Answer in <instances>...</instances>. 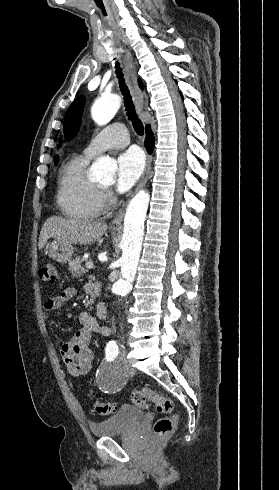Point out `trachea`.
Listing matches in <instances>:
<instances>
[{
	"label": "trachea",
	"instance_id": "trachea-1",
	"mask_svg": "<svg viewBox=\"0 0 279 490\" xmlns=\"http://www.w3.org/2000/svg\"><path fill=\"white\" fill-rule=\"evenodd\" d=\"M116 75L119 80L120 90L124 96L125 107H126L128 118L129 120H131L135 132L138 135H143L144 127L141 120L138 118V115L135 112V107L132 103V99L128 87L125 84V80L123 78V73H122V69L120 68L119 62H116Z\"/></svg>",
	"mask_w": 279,
	"mask_h": 490
}]
</instances>
